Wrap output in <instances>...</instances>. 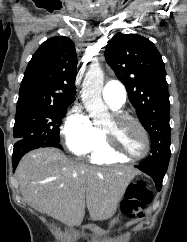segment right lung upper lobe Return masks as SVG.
Returning <instances> with one entry per match:
<instances>
[{"label": "right lung upper lobe", "mask_w": 187, "mask_h": 242, "mask_svg": "<svg viewBox=\"0 0 187 242\" xmlns=\"http://www.w3.org/2000/svg\"><path fill=\"white\" fill-rule=\"evenodd\" d=\"M76 71L77 58L72 40L64 36L46 40L26 68L17 108H68L76 93Z\"/></svg>", "instance_id": "cb5924a9"}]
</instances>
